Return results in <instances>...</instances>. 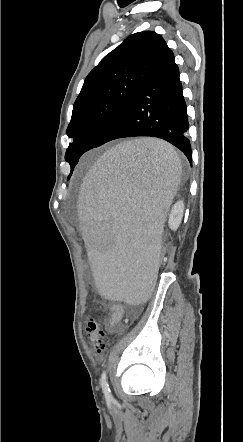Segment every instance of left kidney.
<instances>
[{"mask_svg":"<svg viewBox=\"0 0 243 442\" xmlns=\"http://www.w3.org/2000/svg\"><path fill=\"white\" fill-rule=\"evenodd\" d=\"M183 212H184L183 201L180 200L172 206L168 219V225L171 230L175 231L178 229L183 218Z\"/></svg>","mask_w":243,"mask_h":442,"instance_id":"1","label":"left kidney"}]
</instances>
